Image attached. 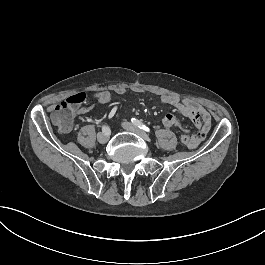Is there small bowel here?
I'll use <instances>...</instances> for the list:
<instances>
[{
    "mask_svg": "<svg viewBox=\"0 0 265 265\" xmlns=\"http://www.w3.org/2000/svg\"><path fill=\"white\" fill-rule=\"evenodd\" d=\"M114 92L119 95H124L128 92V89L124 86H118L114 89ZM134 92L138 93L141 92V90L136 88L134 89ZM99 101L102 104L109 103L111 101V94L108 91L100 93ZM160 101L162 104L175 107L180 114L193 121L197 127V132L192 135L195 140L191 141L190 146L193 149L198 148L199 143L207 137L211 127V116L208 110L193 100L169 94L161 95ZM87 111L88 108L82 107L77 110V113H85ZM162 124L166 128L179 127L184 132H189L188 128L184 126L173 114L165 115L162 119Z\"/></svg>",
    "mask_w": 265,
    "mask_h": 265,
    "instance_id": "c3829d8e",
    "label": "small bowel"
}]
</instances>
